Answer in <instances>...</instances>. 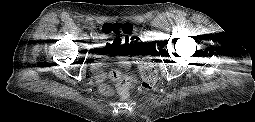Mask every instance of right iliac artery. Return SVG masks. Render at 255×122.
Instances as JSON below:
<instances>
[{
  "label": "right iliac artery",
  "mask_w": 255,
  "mask_h": 122,
  "mask_svg": "<svg viewBox=\"0 0 255 122\" xmlns=\"http://www.w3.org/2000/svg\"><path fill=\"white\" fill-rule=\"evenodd\" d=\"M90 35L94 38L96 36V33L92 31Z\"/></svg>",
  "instance_id": "obj_1"
}]
</instances>
